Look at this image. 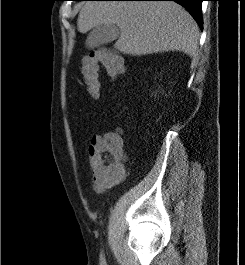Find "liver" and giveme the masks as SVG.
<instances>
[{"label": "liver", "mask_w": 245, "mask_h": 265, "mask_svg": "<svg viewBox=\"0 0 245 265\" xmlns=\"http://www.w3.org/2000/svg\"><path fill=\"white\" fill-rule=\"evenodd\" d=\"M115 24L120 37L114 47L124 54L146 55L182 51L195 56L199 28L182 6L171 1H87L77 28L87 33L95 26Z\"/></svg>", "instance_id": "obj_1"}]
</instances>
